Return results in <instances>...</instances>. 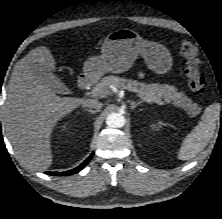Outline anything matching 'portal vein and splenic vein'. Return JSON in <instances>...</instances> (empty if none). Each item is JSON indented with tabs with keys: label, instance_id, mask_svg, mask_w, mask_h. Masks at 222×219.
<instances>
[{
	"label": "portal vein and splenic vein",
	"instance_id": "1",
	"mask_svg": "<svg viewBox=\"0 0 222 219\" xmlns=\"http://www.w3.org/2000/svg\"><path fill=\"white\" fill-rule=\"evenodd\" d=\"M124 89H127L129 91H133L130 87L125 86ZM109 93V91H104L101 88H94L91 91L92 96H100V97H104L105 95H107ZM140 96V95H139ZM159 104H162L161 102H159Z\"/></svg>",
	"mask_w": 222,
	"mask_h": 219
}]
</instances>
